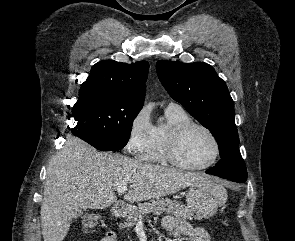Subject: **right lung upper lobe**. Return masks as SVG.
<instances>
[{"mask_svg":"<svg viewBox=\"0 0 295 241\" xmlns=\"http://www.w3.org/2000/svg\"><path fill=\"white\" fill-rule=\"evenodd\" d=\"M148 68L147 61L132 64L113 60L98 62L92 67L88 78L82 84L79 98L89 92L102 91L143 106L144 84L147 80Z\"/></svg>","mask_w":295,"mask_h":241,"instance_id":"1","label":"right lung upper lobe"}]
</instances>
